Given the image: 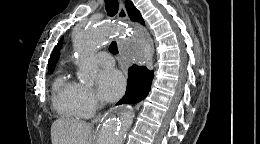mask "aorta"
Masks as SVG:
<instances>
[{
	"label": "aorta",
	"mask_w": 260,
	"mask_h": 144,
	"mask_svg": "<svg viewBox=\"0 0 260 144\" xmlns=\"http://www.w3.org/2000/svg\"><path fill=\"white\" fill-rule=\"evenodd\" d=\"M117 29L114 24L104 22L73 34L74 49L78 53V78L85 85L92 86L97 75L95 53L99 45L110 40ZM132 56H136V47L129 48ZM133 121V110L125 107L106 118L100 127L97 144H124L127 132Z\"/></svg>",
	"instance_id": "1"
}]
</instances>
